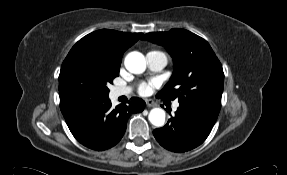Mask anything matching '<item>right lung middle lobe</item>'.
<instances>
[{"label": "right lung middle lobe", "mask_w": 287, "mask_h": 175, "mask_svg": "<svg viewBox=\"0 0 287 175\" xmlns=\"http://www.w3.org/2000/svg\"><path fill=\"white\" fill-rule=\"evenodd\" d=\"M119 75V68L97 64L86 49L76 52L59 75L62 114L86 110L108 98L107 84Z\"/></svg>", "instance_id": "dd1d6c3e"}]
</instances>
